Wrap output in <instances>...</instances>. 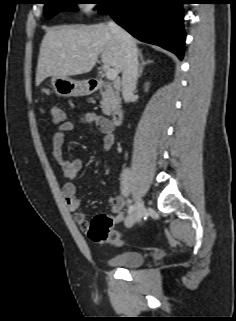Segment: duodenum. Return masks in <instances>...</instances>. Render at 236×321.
I'll return each instance as SVG.
<instances>
[{"instance_id":"obj_1","label":"duodenum","mask_w":236,"mask_h":321,"mask_svg":"<svg viewBox=\"0 0 236 321\" xmlns=\"http://www.w3.org/2000/svg\"><path fill=\"white\" fill-rule=\"evenodd\" d=\"M102 83L99 79H92L89 83L91 91H96L101 88ZM124 113L121 109H114L110 112V121L113 125L119 126L123 121Z\"/></svg>"}]
</instances>
